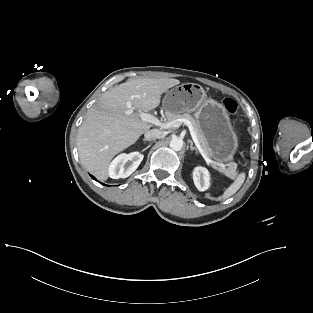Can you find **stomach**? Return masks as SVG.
<instances>
[{"mask_svg":"<svg viewBox=\"0 0 313 313\" xmlns=\"http://www.w3.org/2000/svg\"><path fill=\"white\" fill-rule=\"evenodd\" d=\"M163 108L167 115L195 113L210 157L218 164L230 161L238 149V137L222 104L208 98L203 87L184 83L166 92Z\"/></svg>","mask_w":313,"mask_h":313,"instance_id":"1","label":"stomach"}]
</instances>
